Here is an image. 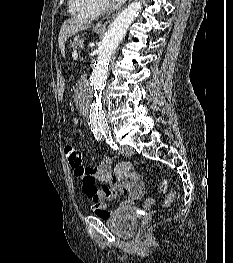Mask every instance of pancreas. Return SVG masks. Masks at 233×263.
Instances as JSON below:
<instances>
[{
	"label": "pancreas",
	"instance_id": "cf45deb5",
	"mask_svg": "<svg viewBox=\"0 0 233 263\" xmlns=\"http://www.w3.org/2000/svg\"><path fill=\"white\" fill-rule=\"evenodd\" d=\"M70 47L73 49L83 47V42L82 41H73L70 43Z\"/></svg>",
	"mask_w": 233,
	"mask_h": 263
}]
</instances>
